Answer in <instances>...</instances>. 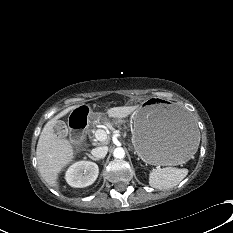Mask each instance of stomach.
Listing matches in <instances>:
<instances>
[{
	"label": "stomach",
	"mask_w": 233,
	"mask_h": 233,
	"mask_svg": "<svg viewBox=\"0 0 233 233\" xmlns=\"http://www.w3.org/2000/svg\"><path fill=\"white\" fill-rule=\"evenodd\" d=\"M132 142L136 154L151 165H177L196 152L200 132L178 104L150 99L132 115Z\"/></svg>",
	"instance_id": "obj_1"
}]
</instances>
